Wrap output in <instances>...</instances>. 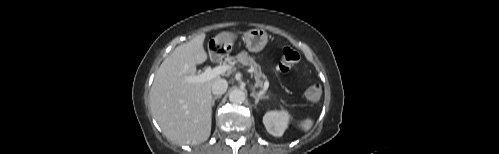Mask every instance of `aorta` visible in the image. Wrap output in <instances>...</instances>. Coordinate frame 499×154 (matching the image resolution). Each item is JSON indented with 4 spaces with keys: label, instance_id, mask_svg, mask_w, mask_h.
Segmentation results:
<instances>
[{
    "label": "aorta",
    "instance_id": "aorta-1",
    "mask_svg": "<svg viewBox=\"0 0 499 154\" xmlns=\"http://www.w3.org/2000/svg\"><path fill=\"white\" fill-rule=\"evenodd\" d=\"M246 96L245 93L240 89H235L229 94V100L235 104H241L244 102Z\"/></svg>",
    "mask_w": 499,
    "mask_h": 154
}]
</instances>
